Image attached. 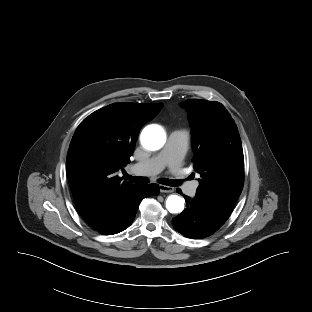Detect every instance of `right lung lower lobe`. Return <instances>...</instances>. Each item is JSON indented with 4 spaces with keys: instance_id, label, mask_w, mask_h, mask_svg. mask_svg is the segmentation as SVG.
Here are the masks:
<instances>
[{
    "instance_id": "98d812e1",
    "label": "right lung lower lobe",
    "mask_w": 312,
    "mask_h": 312,
    "mask_svg": "<svg viewBox=\"0 0 312 312\" xmlns=\"http://www.w3.org/2000/svg\"><path fill=\"white\" fill-rule=\"evenodd\" d=\"M159 193L157 184L137 185L134 187L121 207L106 222L96 227V231L103 235H113L128 228L137 213L140 202L149 196H155Z\"/></svg>"
}]
</instances>
